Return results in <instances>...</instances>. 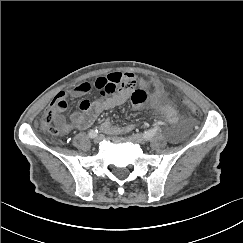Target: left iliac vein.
Segmentation results:
<instances>
[{
    "label": "left iliac vein",
    "instance_id": "left-iliac-vein-1",
    "mask_svg": "<svg viewBox=\"0 0 243 243\" xmlns=\"http://www.w3.org/2000/svg\"><path fill=\"white\" fill-rule=\"evenodd\" d=\"M131 139L141 145L146 143V139L140 134H132Z\"/></svg>",
    "mask_w": 243,
    "mask_h": 243
}]
</instances>
